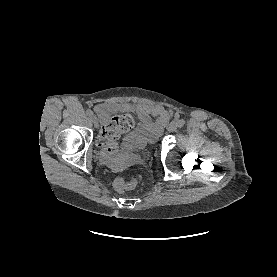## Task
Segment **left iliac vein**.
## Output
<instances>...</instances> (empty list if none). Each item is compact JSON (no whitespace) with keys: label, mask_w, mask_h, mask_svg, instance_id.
Wrapping results in <instances>:
<instances>
[{"label":"left iliac vein","mask_w":277,"mask_h":277,"mask_svg":"<svg viewBox=\"0 0 277 277\" xmlns=\"http://www.w3.org/2000/svg\"><path fill=\"white\" fill-rule=\"evenodd\" d=\"M169 132H175L178 129V123L177 122H171L167 127Z\"/></svg>","instance_id":"4c4485c4"}]
</instances>
